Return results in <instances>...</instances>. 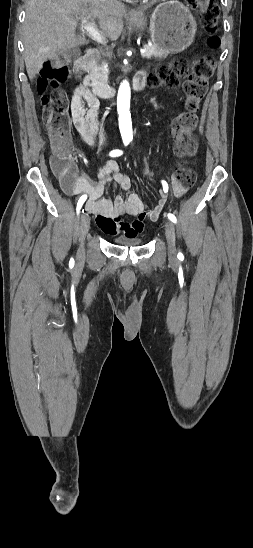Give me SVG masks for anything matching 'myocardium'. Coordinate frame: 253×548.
<instances>
[{"instance_id":"obj_1","label":"myocardium","mask_w":253,"mask_h":548,"mask_svg":"<svg viewBox=\"0 0 253 548\" xmlns=\"http://www.w3.org/2000/svg\"><path fill=\"white\" fill-rule=\"evenodd\" d=\"M146 1H160V0H146Z\"/></svg>"}]
</instances>
